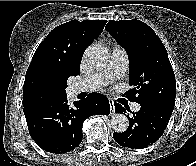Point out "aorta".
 I'll use <instances>...</instances> for the list:
<instances>
[{
    "instance_id": "obj_1",
    "label": "aorta",
    "mask_w": 196,
    "mask_h": 166,
    "mask_svg": "<svg viewBox=\"0 0 196 166\" xmlns=\"http://www.w3.org/2000/svg\"><path fill=\"white\" fill-rule=\"evenodd\" d=\"M84 58L91 66L100 67L108 63L110 53L106 46L102 44H92L86 49ZM128 126L129 121L124 114L118 113L111 118V127L117 133L125 132Z\"/></svg>"
}]
</instances>
